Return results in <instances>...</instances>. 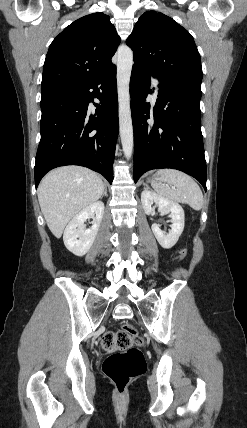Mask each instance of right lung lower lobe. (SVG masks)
<instances>
[{
	"label": "right lung lower lobe",
	"instance_id": "1",
	"mask_svg": "<svg viewBox=\"0 0 247 428\" xmlns=\"http://www.w3.org/2000/svg\"><path fill=\"white\" fill-rule=\"evenodd\" d=\"M101 104L94 115L89 102ZM41 140L35 162V186L51 169L80 165L102 174L111 184L118 136L116 66L85 86L41 97Z\"/></svg>",
	"mask_w": 247,
	"mask_h": 428
}]
</instances>
